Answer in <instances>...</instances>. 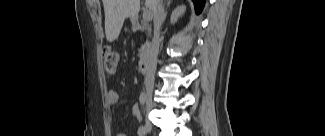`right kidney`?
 <instances>
[{"instance_id":"obj_1","label":"right kidney","mask_w":325,"mask_h":136,"mask_svg":"<svg viewBox=\"0 0 325 136\" xmlns=\"http://www.w3.org/2000/svg\"><path fill=\"white\" fill-rule=\"evenodd\" d=\"M185 11V6H179L177 7L173 12H172V15H171V23L174 24L178 17L181 16Z\"/></svg>"}]
</instances>
